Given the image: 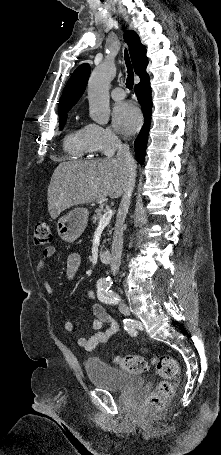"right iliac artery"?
Returning <instances> with one entry per match:
<instances>
[{
    "mask_svg": "<svg viewBox=\"0 0 221 455\" xmlns=\"http://www.w3.org/2000/svg\"><path fill=\"white\" fill-rule=\"evenodd\" d=\"M98 287H107V285H103L102 283L98 284ZM129 320H125L124 321V330L126 332V334L129 335V337H135L137 334H136V329L134 327V325L130 324L128 322Z\"/></svg>",
    "mask_w": 221,
    "mask_h": 455,
    "instance_id": "82829eb1",
    "label": "right iliac artery"
}]
</instances>
